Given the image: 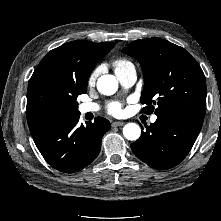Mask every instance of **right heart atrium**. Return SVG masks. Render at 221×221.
I'll list each match as a JSON object with an SVG mask.
<instances>
[{
	"label": "right heart atrium",
	"instance_id": "d8ad5b80",
	"mask_svg": "<svg viewBox=\"0 0 221 221\" xmlns=\"http://www.w3.org/2000/svg\"><path fill=\"white\" fill-rule=\"evenodd\" d=\"M99 73V69L95 68L88 78V85H93L97 79Z\"/></svg>",
	"mask_w": 221,
	"mask_h": 221
}]
</instances>
